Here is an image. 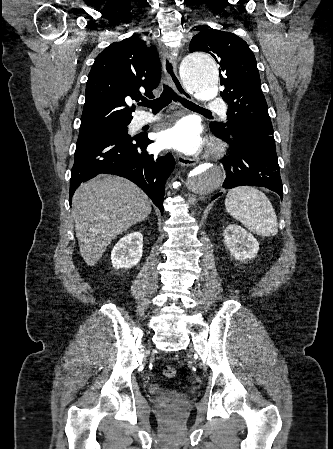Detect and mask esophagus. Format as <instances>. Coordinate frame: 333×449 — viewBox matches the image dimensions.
<instances>
[{
	"mask_svg": "<svg viewBox=\"0 0 333 449\" xmlns=\"http://www.w3.org/2000/svg\"><path fill=\"white\" fill-rule=\"evenodd\" d=\"M175 54H170L169 52H164V72L168 82L172 85L178 95L185 99H191V95L184 88L178 74H177V58ZM177 162L181 166H191L198 162L196 158H189L183 155L177 157Z\"/></svg>",
	"mask_w": 333,
	"mask_h": 449,
	"instance_id": "34e87169",
	"label": "esophagus"
}]
</instances>
